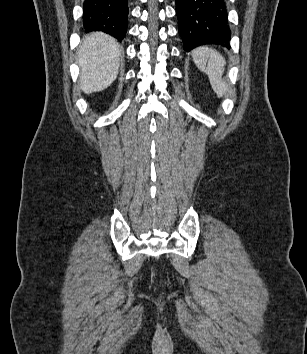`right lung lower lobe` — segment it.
Instances as JSON below:
<instances>
[{
    "mask_svg": "<svg viewBox=\"0 0 307 354\" xmlns=\"http://www.w3.org/2000/svg\"><path fill=\"white\" fill-rule=\"evenodd\" d=\"M128 0H85L83 26L87 32L102 31L122 40L127 30Z\"/></svg>",
    "mask_w": 307,
    "mask_h": 354,
    "instance_id": "98d812e1",
    "label": "right lung lower lobe"
}]
</instances>
